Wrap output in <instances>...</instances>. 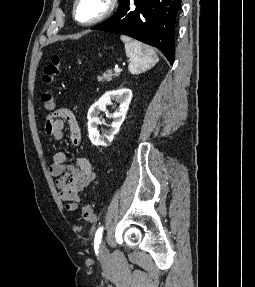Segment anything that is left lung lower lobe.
<instances>
[{
  "instance_id": "left-lung-lower-lobe-1",
  "label": "left lung lower lobe",
  "mask_w": 255,
  "mask_h": 287,
  "mask_svg": "<svg viewBox=\"0 0 255 287\" xmlns=\"http://www.w3.org/2000/svg\"><path fill=\"white\" fill-rule=\"evenodd\" d=\"M117 13L92 30L123 34L159 48L174 62L175 28L181 0H119Z\"/></svg>"
}]
</instances>
